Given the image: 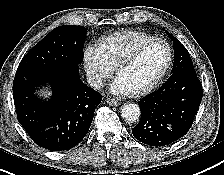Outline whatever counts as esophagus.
<instances>
[{
  "mask_svg": "<svg viewBox=\"0 0 224 175\" xmlns=\"http://www.w3.org/2000/svg\"><path fill=\"white\" fill-rule=\"evenodd\" d=\"M106 102H107V104H109L111 106H118V105H120V102L118 100L111 99V98H107Z\"/></svg>",
  "mask_w": 224,
  "mask_h": 175,
  "instance_id": "obj_1",
  "label": "esophagus"
}]
</instances>
